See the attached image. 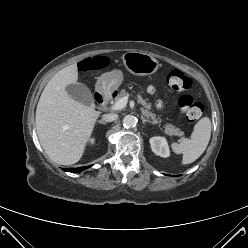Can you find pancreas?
<instances>
[{
  "mask_svg": "<svg viewBox=\"0 0 248 248\" xmlns=\"http://www.w3.org/2000/svg\"><path fill=\"white\" fill-rule=\"evenodd\" d=\"M127 95L126 90H121V92L115 97L114 102L116 103L119 99L125 97ZM139 102L143 105L142 113L145 115L148 119L152 121L153 124L161 123V119L156 116L155 113L151 111V103H149L147 100H144L141 95H138ZM164 132L165 134L169 136H178L182 137L184 135V132L181 131V129L172 126V125H165L164 126Z\"/></svg>",
  "mask_w": 248,
  "mask_h": 248,
  "instance_id": "obj_1",
  "label": "pancreas"
}]
</instances>
